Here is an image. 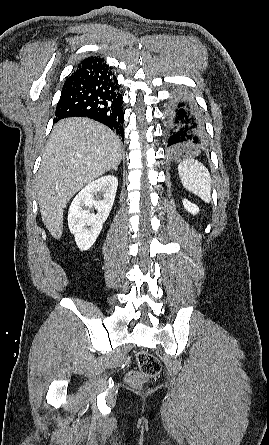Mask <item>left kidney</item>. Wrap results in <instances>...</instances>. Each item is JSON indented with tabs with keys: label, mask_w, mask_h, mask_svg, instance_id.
<instances>
[{
	"label": "left kidney",
	"mask_w": 269,
	"mask_h": 445,
	"mask_svg": "<svg viewBox=\"0 0 269 445\" xmlns=\"http://www.w3.org/2000/svg\"><path fill=\"white\" fill-rule=\"evenodd\" d=\"M183 205H184V208H185L189 213H191V214H193V215L199 213V208H198L195 204L189 202L188 200L184 199V200H183Z\"/></svg>",
	"instance_id": "1"
}]
</instances>
